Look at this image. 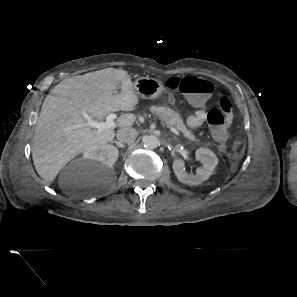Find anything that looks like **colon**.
Returning a JSON list of instances; mask_svg holds the SVG:
<instances>
[{"label": "colon", "mask_w": 297, "mask_h": 297, "mask_svg": "<svg viewBox=\"0 0 297 297\" xmlns=\"http://www.w3.org/2000/svg\"><path fill=\"white\" fill-rule=\"evenodd\" d=\"M167 86L187 95L196 103L209 98L214 92L211 81L195 76L173 77L167 81ZM234 104L227 96H221L218 107L211 109L207 114V122L212 136L218 141H225L228 129L232 123Z\"/></svg>", "instance_id": "1"}]
</instances>
